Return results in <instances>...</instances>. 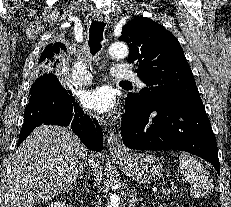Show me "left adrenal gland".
<instances>
[{
	"label": "left adrenal gland",
	"instance_id": "1",
	"mask_svg": "<svg viewBox=\"0 0 231 207\" xmlns=\"http://www.w3.org/2000/svg\"><path fill=\"white\" fill-rule=\"evenodd\" d=\"M136 190L135 188L129 193V199H128V203H129V206L131 207H136V204L138 202V199L136 197Z\"/></svg>",
	"mask_w": 231,
	"mask_h": 207
}]
</instances>
